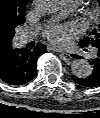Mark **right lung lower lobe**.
I'll list each match as a JSON object with an SVG mask.
<instances>
[{"label": "right lung lower lobe", "instance_id": "obj_1", "mask_svg": "<svg viewBox=\"0 0 100 118\" xmlns=\"http://www.w3.org/2000/svg\"><path fill=\"white\" fill-rule=\"evenodd\" d=\"M45 52V46L38 44L32 50L11 48L0 53V79L9 85L28 83L36 76L38 57Z\"/></svg>", "mask_w": 100, "mask_h": 118}]
</instances>
